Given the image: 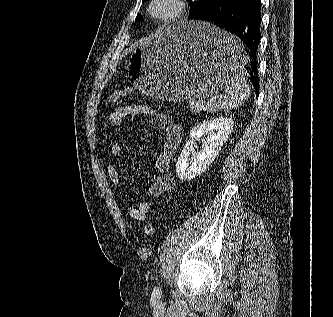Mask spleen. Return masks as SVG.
Listing matches in <instances>:
<instances>
[{"mask_svg":"<svg viewBox=\"0 0 333 317\" xmlns=\"http://www.w3.org/2000/svg\"><path fill=\"white\" fill-rule=\"evenodd\" d=\"M220 41L226 46L231 59V72L223 95L213 104L214 110L228 111L245 103L250 96L248 73L244 68L246 57L240 51L239 39L227 32L219 31Z\"/></svg>","mask_w":333,"mask_h":317,"instance_id":"obj_1","label":"spleen"}]
</instances>
